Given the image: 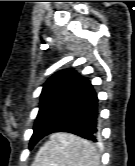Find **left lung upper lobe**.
Returning a JSON list of instances; mask_svg holds the SVG:
<instances>
[{
    "label": "left lung upper lobe",
    "instance_id": "obj_1",
    "mask_svg": "<svg viewBox=\"0 0 135 166\" xmlns=\"http://www.w3.org/2000/svg\"><path fill=\"white\" fill-rule=\"evenodd\" d=\"M79 74L73 69L61 70L52 75L43 85L39 112L33 129L35 130L73 89L79 80Z\"/></svg>",
    "mask_w": 135,
    "mask_h": 166
}]
</instances>
